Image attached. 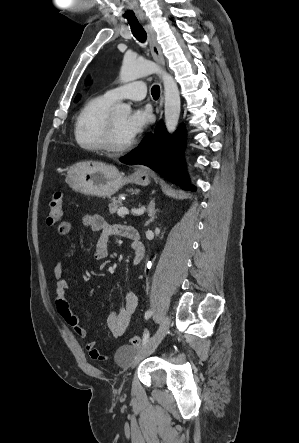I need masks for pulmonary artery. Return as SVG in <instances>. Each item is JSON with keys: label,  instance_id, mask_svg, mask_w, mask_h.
Instances as JSON below:
<instances>
[{"label": "pulmonary artery", "instance_id": "1", "mask_svg": "<svg viewBox=\"0 0 299 443\" xmlns=\"http://www.w3.org/2000/svg\"><path fill=\"white\" fill-rule=\"evenodd\" d=\"M147 93L146 84L143 81H134L108 90L104 95L110 100L121 99L142 100Z\"/></svg>", "mask_w": 299, "mask_h": 443}]
</instances>
